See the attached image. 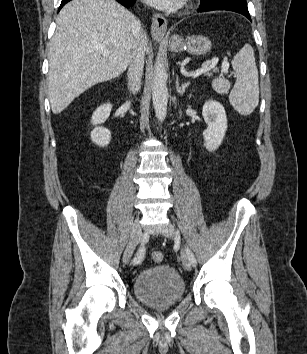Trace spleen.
Segmentation results:
<instances>
[{"instance_id":"1","label":"spleen","mask_w":307,"mask_h":354,"mask_svg":"<svg viewBox=\"0 0 307 354\" xmlns=\"http://www.w3.org/2000/svg\"><path fill=\"white\" fill-rule=\"evenodd\" d=\"M231 64L237 80L230 92L229 102L238 113L247 116L259 103L258 70L252 46L245 44ZM212 86L218 93H227L231 87L229 81L222 78L215 79Z\"/></svg>"}]
</instances>
